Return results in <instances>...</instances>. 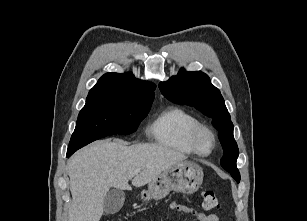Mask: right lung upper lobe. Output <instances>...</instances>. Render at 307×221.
Instances as JSON below:
<instances>
[{
  "mask_svg": "<svg viewBox=\"0 0 307 221\" xmlns=\"http://www.w3.org/2000/svg\"><path fill=\"white\" fill-rule=\"evenodd\" d=\"M156 85L136 79L130 73H106L89 91L86 102L101 99L153 101Z\"/></svg>",
  "mask_w": 307,
  "mask_h": 221,
  "instance_id": "1",
  "label": "right lung upper lobe"
}]
</instances>
